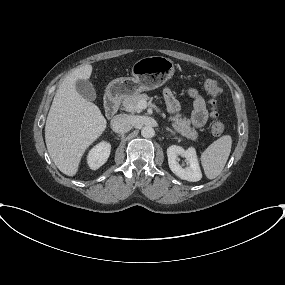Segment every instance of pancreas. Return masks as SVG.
<instances>
[{"label":"pancreas","instance_id":"1","mask_svg":"<svg viewBox=\"0 0 285 285\" xmlns=\"http://www.w3.org/2000/svg\"><path fill=\"white\" fill-rule=\"evenodd\" d=\"M150 97L146 94H134L127 96L123 101V109L134 113V112H141L142 110L138 108V103L141 100L147 101ZM169 121L172 122L173 129L181 134L182 136L196 141L198 138V132L194 127H191V121L186 117H182L181 114H177L175 116H171L168 118Z\"/></svg>","mask_w":285,"mask_h":285}]
</instances>
